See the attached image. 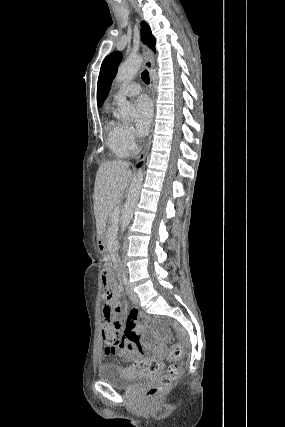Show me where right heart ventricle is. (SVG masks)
<instances>
[{
	"instance_id": "e07e8e85",
	"label": "right heart ventricle",
	"mask_w": 285,
	"mask_h": 427,
	"mask_svg": "<svg viewBox=\"0 0 285 427\" xmlns=\"http://www.w3.org/2000/svg\"><path fill=\"white\" fill-rule=\"evenodd\" d=\"M123 126L124 125L111 118L106 120V144L112 153L118 158H125L132 152L124 142Z\"/></svg>"
}]
</instances>
